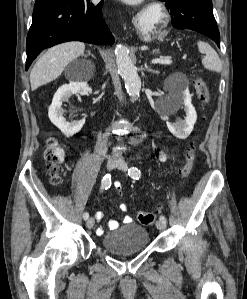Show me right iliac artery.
<instances>
[{
	"mask_svg": "<svg viewBox=\"0 0 247 299\" xmlns=\"http://www.w3.org/2000/svg\"><path fill=\"white\" fill-rule=\"evenodd\" d=\"M110 186H111V177L109 174H106L102 179L101 188L107 190L108 188H110ZM88 218H89V214L85 212L83 214V219L87 220Z\"/></svg>",
	"mask_w": 247,
	"mask_h": 299,
	"instance_id": "1",
	"label": "right iliac artery"
}]
</instances>
